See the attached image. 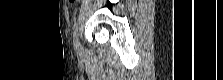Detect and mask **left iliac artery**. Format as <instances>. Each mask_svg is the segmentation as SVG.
Listing matches in <instances>:
<instances>
[{
  "mask_svg": "<svg viewBox=\"0 0 223 80\" xmlns=\"http://www.w3.org/2000/svg\"><path fill=\"white\" fill-rule=\"evenodd\" d=\"M73 39H74V44L76 47L79 46V41H78V22L75 21L74 26H73Z\"/></svg>",
  "mask_w": 223,
  "mask_h": 80,
  "instance_id": "left-iliac-artery-1",
  "label": "left iliac artery"
}]
</instances>
